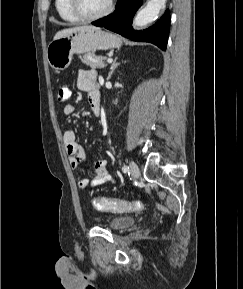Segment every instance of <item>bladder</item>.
<instances>
[{
	"label": "bladder",
	"mask_w": 243,
	"mask_h": 289,
	"mask_svg": "<svg viewBox=\"0 0 243 289\" xmlns=\"http://www.w3.org/2000/svg\"><path fill=\"white\" fill-rule=\"evenodd\" d=\"M136 219L132 216L119 215L109 219L108 227L113 230H122L132 226Z\"/></svg>",
	"instance_id": "31cf9c89"
}]
</instances>
